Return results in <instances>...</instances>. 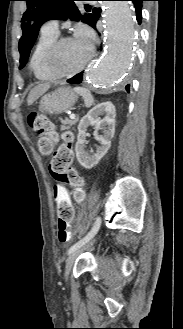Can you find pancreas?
I'll use <instances>...</instances> for the list:
<instances>
[{
    "label": "pancreas",
    "instance_id": "obj_1",
    "mask_svg": "<svg viewBox=\"0 0 183 329\" xmlns=\"http://www.w3.org/2000/svg\"><path fill=\"white\" fill-rule=\"evenodd\" d=\"M77 119L76 120H69V119H64L61 120L62 126H61V131H64L66 129H69L70 127L74 126L77 123Z\"/></svg>",
    "mask_w": 183,
    "mask_h": 329
}]
</instances>
